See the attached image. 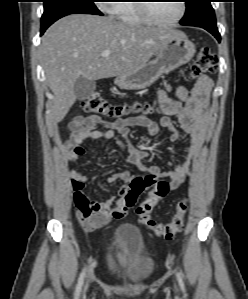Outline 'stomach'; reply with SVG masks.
<instances>
[{
    "mask_svg": "<svg viewBox=\"0 0 248 299\" xmlns=\"http://www.w3.org/2000/svg\"><path fill=\"white\" fill-rule=\"evenodd\" d=\"M195 45L185 34L171 37L158 51L157 57L137 71L120 75L115 84L122 89H144L153 84L163 74L188 63L195 54Z\"/></svg>",
    "mask_w": 248,
    "mask_h": 299,
    "instance_id": "1",
    "label": "stomach"
}]
</instances>
